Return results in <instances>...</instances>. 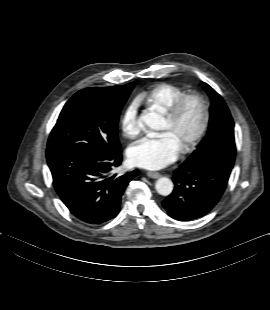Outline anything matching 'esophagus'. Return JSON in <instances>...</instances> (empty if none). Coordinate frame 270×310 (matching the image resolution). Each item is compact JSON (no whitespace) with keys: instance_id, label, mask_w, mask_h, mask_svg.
I'll return each mask as SVG.
<instances>
[{"instance_id":"34e87169","label":"esophagus","mask_w":270,"mask_h":310,"mask_svg":"<svg viewBox=\"0 0 270 310\" xmlns=\"http://www.w3.org/2000/svg\"><path fill=\"white\" fill-rule=\"evenodd\" d=\"M147 176L155 179V178L160 177V173L149 171V172H147Z\"/></svg>"}]
</instances>
